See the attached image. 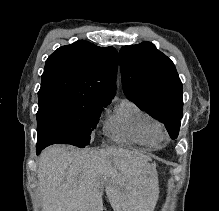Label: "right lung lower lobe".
<instances>
[{"label": "right lung lower lobe", "instance_id": "right-lung-lower-lobe-1", "mask_svg": "<svg viewBox=\"0 0 219 211\" xmlns=\"http://www.w3.org/2000/svg\"><path fill=\"white\" fill-rule=\"evenodd\" d=\"M52 144H57V141H53V140L39 141V140H37V154H39L45 147L52 145Z\"/></svg>", "mask_w": 219, "mask_h": 211}]
</instances>
